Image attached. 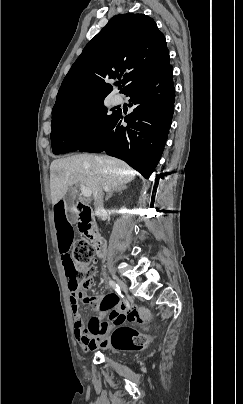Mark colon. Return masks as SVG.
<instances>
[{"mask_svg": "<svg viewBox=\"0 0 243 404\" xmlns=\"http://www.w3.org/2000/svg\"><path fill=\"white\" fill-rule=\"evenodd\" d=\"M73 271L77 286L88 287L95 273L94 251L86 240L75 242L72 251ZM111 345L117 350L139 348L145 344L146 338L135 329L127 326L118 327L111 335Z\"/></svg>", "mask_w": 243, "mask_h": 404, "instance_id": "colon-1", "label": "colon"}]
</instances>
